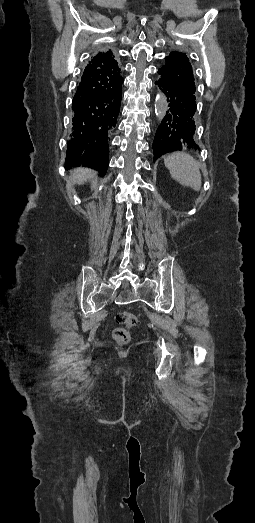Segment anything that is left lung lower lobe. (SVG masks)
<instances>
[{"label":"left lung lower lobe","instance_id":"obj_1","mask_svg":"<svg viewBox=\"0 0 255 523\" xmlns=\"http://www.w3.org/2000/svg\"><path fill=\"white\" fill-rule=\"evenodd\" d=\"M155 83L161 92L158 97H165L166 94L165 101L169 104L165 120H159L160 124L155 129L158 137L151 141V160L158 162L161 161V155L174 151L191 152L196 148L194 136L198 126L193 124V115H198V110L191 93L186 92L187 89L171 85L168 77L160 76Z\"/></svg>","mask_w":255,"mask_h":523}]
</instances>
